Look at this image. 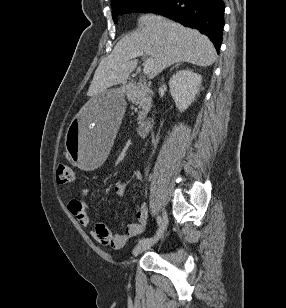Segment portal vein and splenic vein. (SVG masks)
I'll return each mask as SVG.
<instances>
[{"instance_id":"1","label":"portal vein and splenic vein","mask_w":286,"mask_h":308,"mask_svg":"<svg viewBox=\"0 0 286 308\" xmlns=\"http://www.w3.org/2000/svg\"><path fill=\"white\" fill-rule=\"evenodd\" d=\"M146 53L143 52V51H135V52H132L127 59H134L136 57H139V56H144ZM154 67V60L152 57H149L146 59L145 63H144V67H143V73L144 74H149L151 72V70L153 69Z\"/></svg>"}]
</instances>
